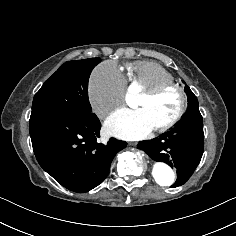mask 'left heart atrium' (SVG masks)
Listing matches in <instances>:
<instances>
[{
	"instance_id": "obj_1",
	"label": "left heart atrium",
	"mask_w": 236,
	"mask_h": 236,
	"mask_svg": "<svg viewBox=\"0 0 236 236\" xmlns=\"http://www.w3.org/2000/svg\"><path fill=\"white\" fill-rule=\"evenodd\" d=\"M107 133L125 140L141 139L153 128L142 109H120L111 114L105 122Z\"/></svg>"
}]
</instances>
